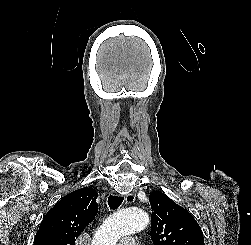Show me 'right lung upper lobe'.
<instances>
[{
  "label": "right lung upper lobe",
  "instance_id": "right-lung-upper-lobe-1",
  "mask_svg": "<svg viewBox=\"0 0 251 245\" xmlns=\"http://www.w3.org/2000/svg\"><path fill=\"white\" fill-rule=\"evenodd\" d=\"M97 197L91 187L64 196L44 216L33 245H74L97 215Z\"/></svg>",
  "mask_w": 251,
  "mask_h": 245
}]
</instances>
